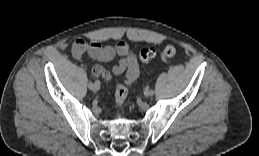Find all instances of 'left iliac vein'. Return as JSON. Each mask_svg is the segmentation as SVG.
<instances>
[{
  "label": "left iliac vein",
  "instance_id": "obj_1",
  "mask_svg": "<svg viewBox=\"0 0 259 156\" xmlns=\"http://www.w3.org/2000/svg\"><path fill=\"white\" fill-rule=\"evenodd\" d=\"M149 91H151V90H150V89H146V90L144 91V95H145L146 97L151 96V94H149Z\"/></svg>",
  "mask_w": 259,
  "mask_h": 156
}]
</instances>
